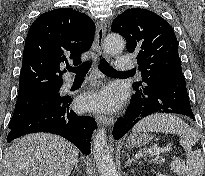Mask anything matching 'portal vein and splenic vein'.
<instances>
[{
    "instance_id": "portal-vein-and-splenic-vein-1",
    "label": "portal vein and splenic vein",
    "mask_w": 205,
    "mask_h": 176,
    "mask_svg": "<svg viewBox=\"0 0 205 176\" xmlns=\"http://www.w3.org/2000/svg\"><path fill=\"white\" fill-rule=\"evenodd\" d=\"M172 151V149L170 147H166V148H154V149H150L147 151V154H149V156H157L162 152H170Z\"/></svg>"
}]
</instances>
